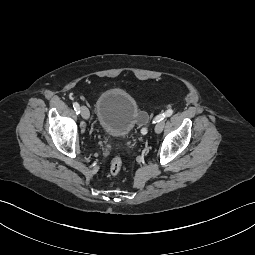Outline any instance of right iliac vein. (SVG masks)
<instances>
[{"label": "right iliac vein", "mask_w": 255, "mask_h": 255, "mask_svg": "<svg viewBox=\"0 0 255 255\" xmlns=\"http://www.w3.org/2000/svg\"><path fill=\"white\" fill-rule=\"evenodd\" d=\"M80 113H81V116L84 119H88L89 116H90L89 110H88V108L86 106H81L80 107Z\"/></svg>", "instance_id": "63e3f726"}]
</instances>
